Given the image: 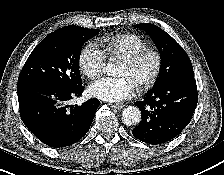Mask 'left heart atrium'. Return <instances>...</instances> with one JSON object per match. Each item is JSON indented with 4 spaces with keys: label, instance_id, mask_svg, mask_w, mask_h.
<instances>
[{
    "label": "left heart atrium",
    "instance_id": "39dd6f15",
    "mask_svg": "<svg viewBox=\"0 0 224 175\" xmlns=\"http://www.w3.org/2000/svg\"><path fill=\"white\" fill-rule=\"evenodd\" d=\"M135 88V84L126 76L103 77L89 86V92L103 101L120 102L132 97Z\"/></svg>",
    "mask_w": 224,
    "mask_h": 175
}]
</instances>
